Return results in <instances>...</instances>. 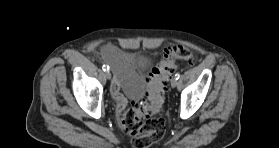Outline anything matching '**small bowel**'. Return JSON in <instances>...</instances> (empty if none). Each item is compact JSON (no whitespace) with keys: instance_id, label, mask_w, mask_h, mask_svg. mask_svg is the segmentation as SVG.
Listing matches in <instances>:
<instances>
[{"instance_id":"1","label":"small bowel","mask_w":279,"mask_h":148,"mask_svg":"<svg viewBox=\"0 0 279 148\" xmlns=\"http://www.w3.org/2000/svg\"><path fill=\"white\" fill-rule=\"evenodd\" d=\"M103 59L114 70L111 93L116 102V110L120 113L127 104V99L122 92L131 100L138 99L143 91V79L129 64L127 57L116 47L106 46L103 50ZM148 65L149 62H142L141 71H145Z\"/></svg>"}]
</instances>
